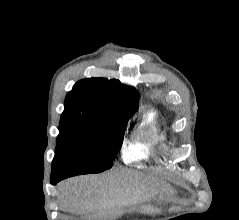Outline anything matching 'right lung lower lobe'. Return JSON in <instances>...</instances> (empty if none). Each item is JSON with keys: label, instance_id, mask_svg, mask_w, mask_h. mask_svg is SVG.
Instances as JSON below:
<instances>
[{"label": "right lung lower lobe", "instance_id": "1", "mask_svg": "<svg viewBox=\"0 0 239 220\" xmlns=\"http://www.w3.org/2000/svg\"><path fill=\"white\" fill-rule=\"evenodd\" d=\"M59 181L58 180H51L52 185H56Z\"/></svg>", "mask_w": 239, "mask_h": 220}]
</instances>
